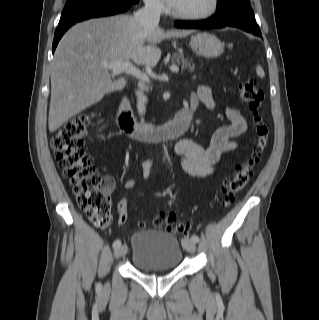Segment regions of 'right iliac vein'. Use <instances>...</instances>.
Masks as SVG:
<instances>
[{
  "label": "right iliac vein",
  "instance_id": "63e3f726",
  "mask_svg": "<svg viewBox=\"0 0 319 320\" xmlns=\"http://www.w3.org/2000/svg\"><path fill=\"white\" fill-rule=\"evenodd\" d=\"M127 251V246L126 245H120L118 248L115 249L114 251V256L115 258H120L123 255H125Z\"/></svg>",
  "mask_w": 319,
  "mask_h": 320
}]
</instances>
